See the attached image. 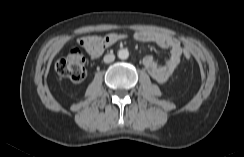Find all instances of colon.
<instances>
[{
  "mask_svg": "<svg viewBox=\"0 0 244 157\" xmlns=\"http://www.w3.org/2000/svg\"><path fill=\"white\" fill-rule=\"evenodd\" d=\"M116 34H108L103 37L94 36V42L101 47H109L117 41ZM185 60L191 58V53L188 49L183 50ZM57 73L73 82H81L86 77L85 58L79 48H71L68 54L56 62Z\"/></svg>",
  "mask_w": 244,
  "mask_h": 157,
  "instance_id": "obj_1",
  "label": "colon"
}]
</instances>
